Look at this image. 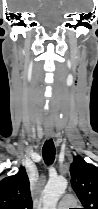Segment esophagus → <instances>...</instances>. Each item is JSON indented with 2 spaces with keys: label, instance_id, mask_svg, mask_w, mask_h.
<instances>
[{
  "label": "esophagus",
  "instance_id": "esophagus-1",
  "mask_svg": "<svg viewBox=\"0 0 98 209\" xmlns=\"http://www.w3.org/2000/svg\"><path fill=\"white\" fill-rule=\"evenodd\" d=\"M54 133L52 131V129L50 128H46V131H45V136L47 139H51L53 137Z\"/></svg>",
  "mask_w": 98,
  "mask_h": 209
}]
</instances>
